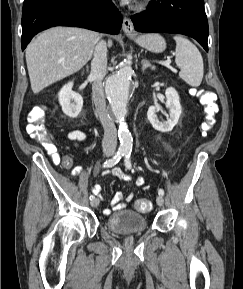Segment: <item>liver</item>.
<instances>
[{
	"label": "liver",
	"mask_w": 243,
	"mask_h": 289,
	"mask_svg": "<svg viewBox=\"0 0 243 289\" xmlns=\"http://www.w3.org/2000/svg\"><path fill=\"white\" fill-rule=\"evenodd\" d=\"M98 34L78 27H54L42 32L26 48L33 93L79 71L92 57ZM109 46L112 41L109 40Z\"/></svg>",
	"instance_id": "liver-1"
}]
</instances>
